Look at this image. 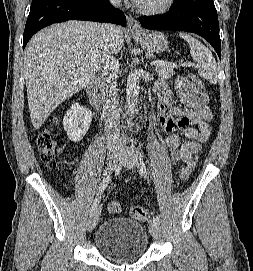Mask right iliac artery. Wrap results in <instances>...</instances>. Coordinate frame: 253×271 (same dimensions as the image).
<instances>
[{
    "mask_svg": "<svg viewBox=\"0 0 253 271\" xmlns=\"http://www.w3.org/2000/svg\"><path fill=\"white\" fill-rule=\"evenodd\" d=\"M120 168H121V164L118 165V169H120ZM110 181H111V176L108 175L100 183V185L98 187V191H97V196H96V198H95V200H94V202L92 204V207L90 209V213L91 214L96 210V208L98 206V203H99V200H100V196L104 192V190L107 188V186L109 185Z\"/></svg>",
    "mask_w": 253,
    "mask_h": 271,
    "instance_id": "right-iliac-artery-1",
    "label": "right iliac artery"
}]
</instances>
